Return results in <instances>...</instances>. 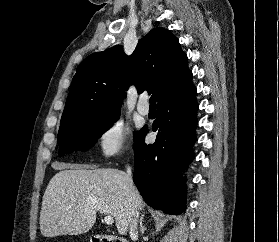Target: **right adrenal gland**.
I'll list each match as a JSON object with an SVG mask.
<instances>
[{
  "label": "right adrenal gland",
  "instance_id": "1",
  "mask_svg": "<svg viewBox=\"0 0 279 242\" xmlns=\"http://www.w3.org/2000/svg\"><path fill=\"white\" fill-rule=\"evenodd\" d=\"M143 220H144V215H141L140 217V232L143 234L144 231L147 229L144 225H143Z\"/></svg>",
  "mask_w": 279,
  "mask_h": 242
}]
</instances>
